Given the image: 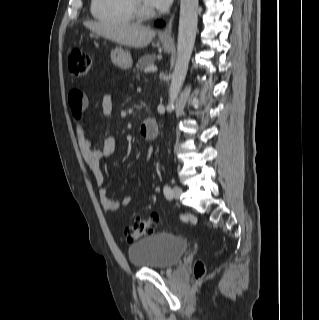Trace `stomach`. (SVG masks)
<instances>
[{
	"instance_id": "stomach-1",
	"label": "stomach",
	"mask_w": 319,
	"mask_h": 320,
	"mask_svg": "<svg viewBox=\"0 0 319 320\" xmlns=\"http://www.w3.org/2000/svg\"><path fill=\"white\" fill-rule=\"evenodd\" d=\"M164 50L169 52L171 49L170 43L163 38H160ZM111 59L115 65L123 70H127L132 67V57L130 53L126 52L121 46L115 47L111 52Z\"/></svg>"
}]
</instances>
